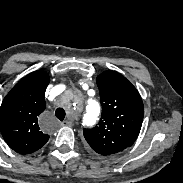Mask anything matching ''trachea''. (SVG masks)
I'll use <instances>...</instances> for the list:
<instances>
[{"instance_id": "obj_1", "label": "trachea", "mask_w": 183, "mask_h": 183, "mask_svg": "<svg viewBox=\"0 0 183 183\" xmlns=\"http://www.w3.org/2000/svg\"><path fill=\"white\" fill-rule=\"evenodd\" d=\"M56 117L60 120L63 121L65 118V111L62 108H57L55 111Z\"/></svg>"}]
</instances>
